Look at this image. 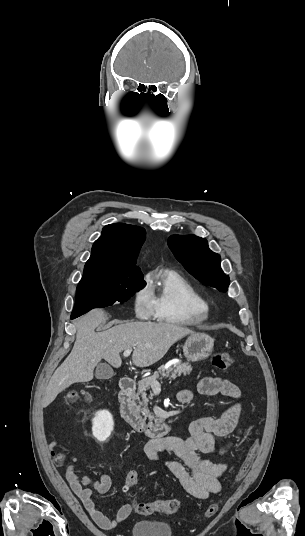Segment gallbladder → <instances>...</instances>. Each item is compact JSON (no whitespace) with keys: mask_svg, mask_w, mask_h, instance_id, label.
<instances>
[{"mask_svg":"<svg viewBox=\"0 0 305 536\" xmlns=\"http://www.w3.org/2000/svg\"><path fill=\"white\" fill-rule=\"evenodd\" d=\"M95 376L98 380H109L114 376V372L108 364H99L96 368Z\"/></svg>","mask_w":305,"mask_h":536,"instance_id":"bac80fb5","label":"gallbladder"}]
</instances>
